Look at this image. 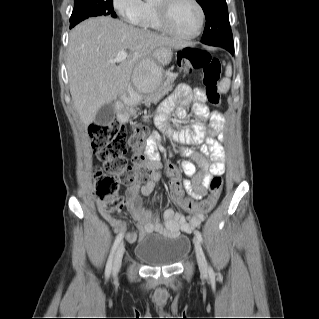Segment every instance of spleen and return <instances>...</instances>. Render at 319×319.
I'll list each match as a JSON object with an SVG mask.
<instances>
[{
  "instance_id": "3e777b00",
  "label": "spleen",
  "mask_w": 319,
  "mask_h": 319,
  "mask_svg": "<svg viewBox=\"0 0 319 319\" xmlns=\"http://www.w3.org/2000/svg\"><path fill=\"white\" fill-rule=\"evenodd\" d=\"M225 75H226V77L223 78L220 81L219 85H218V91L220 93H227L229 88H230V84H231L230 77L232 75V67H231V65L227 66Z\"/></svg>"
}]
</instances>
